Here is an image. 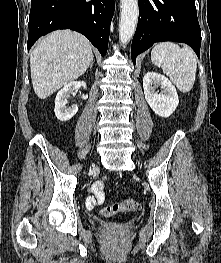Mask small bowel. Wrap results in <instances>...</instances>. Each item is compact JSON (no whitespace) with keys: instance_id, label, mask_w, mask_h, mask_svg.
<instances>
[{"instance_id":"small-bowel-1","label":"small bowel","mask_w":221,"mask_h":263,"mask_svg":"<svg viewBox=\"0 0 221 263\" xmlns=\"http://www.w3.org/2000/svg\"><path fill=\"white\" fill-rule=\"evenodd\" d=\"M93 196L86 199V208L92 210L96 206L102 205L105 202L106 196L104 193V183L102 181L95 182L91 186Z\"/></svg>"}]
</instances>
